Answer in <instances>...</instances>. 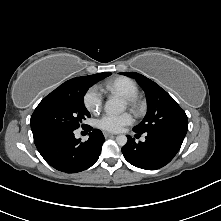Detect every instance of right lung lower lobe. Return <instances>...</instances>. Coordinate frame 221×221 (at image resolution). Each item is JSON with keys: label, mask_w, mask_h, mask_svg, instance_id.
I'll list each match as a JSON object with an SVG mask.
<instances>
[{"label": "right lung lower lobe", "mask_w": 221, "mask_h": 221, "mask_svg": "<svg viewBox=\"0 0 221 221\" xmlns=\"http://www.w3.org/2000/svg\"><path fill=\"white\" fill-rule=\"evenodd\" d=\"M84 127L92 130L88 125ZM74 130L55 127L33 132L34 143L44 160L66 173H77L91 167L98 160L105 141L98 129L90 132L85 142L74 137Z\"/></svg>", "instance_id": "obj_1"}]
</instances>
